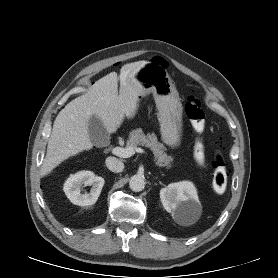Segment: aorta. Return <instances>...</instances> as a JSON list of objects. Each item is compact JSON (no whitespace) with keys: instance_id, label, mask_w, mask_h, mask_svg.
Wrapping results in <instances>:
<instances>
[{"instance_id":"aorta-1","label":"aorta","mask_w":278,"mask_h":278,"mask_svg":"<svg viewBox=\"0 0 278 278\" xmlns=\"http://www.w3.org/2000/svg\"><path fill=\"white\" fill-rule=\"evenodd\" d=\"M129 186L132 191L140 192L145 187V178L141 175H134L129 181Z\"/></svg>"}]
</instances>
